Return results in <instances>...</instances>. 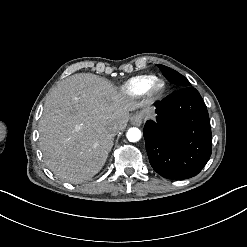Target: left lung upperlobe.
Returning a JSON list of instances; mask_svg holds the SVG:
<instances>
[{
  "mask_svg": "<svg viewBox=\"0 0 247 247\" xmlns=\"http://www.w3.org/2000/svg\"><path fill=\"white\" fill-rule=\"evenodd\" d=\"M160 67V69L162 70L164 76L166 77V79L168 81H170L171 83H174L180 87H189L191 86L190 82L180 73H178L177 71L164 66V65H158Z\"/></svg>",
  "mask_w": 247,
  "mask_h": 247,
  "instance_id": "5c2ea615",
  "label": "left lung upper lobe"
}]
</instances>
